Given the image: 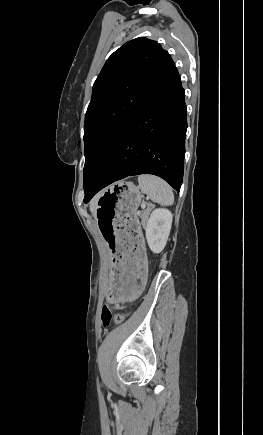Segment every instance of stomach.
<instances>
[{"instance_id":"stomach-1","label":"stomach","mask_w":263,"mask_h":435,"mask_svg":"<svg viewBox=\"0 0 263 435\" xmlns=\"http://www.w3.org/2000/svg\"><path fill=\"white\" fill-rule=\"evenodd\" d=\"M140 202L139 188L124 180L111 185L97 199L98 232L103 233L112 262L113 305H133V299H139L150 281L145 270L146 239L138 216Z\"/></svg>"}]
</instances>
